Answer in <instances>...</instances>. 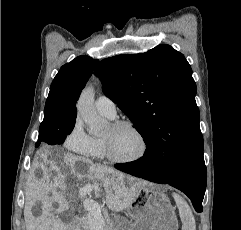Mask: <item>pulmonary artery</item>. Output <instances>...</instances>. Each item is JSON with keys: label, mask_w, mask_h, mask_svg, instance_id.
<instances>
[{"label": "pulmonary artery", "mask_w": 241, "mask_h": 230, "mask_svg": "<svg viewBox=\"0 0 241 230\" xmlns=\"http://www.w3.org/2000/svg\"><path fill=\"white\" fill-rule=\"evenodd\" d=\"M95 107L100 114L108 118H114L116 116L115 103L108 96L101 95L98 97L95 103Z\"/></svg>", "instance_id": "1"}]
</instances>
